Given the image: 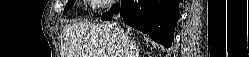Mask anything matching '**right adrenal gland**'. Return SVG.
Returning <instances> with one entry per match:
<instances>
[{
  "mask_svg": "<svg viewBox=\"0 0 249 57\" xmlns=\"http://www.w3.org/2000/svg\"><path fill=\"white\" fill-rule=\"evenodd\" d=\"M134 47L136 50V57H138L139 56V49H138V46L136 45V43H134Z\"/></svg>",
  "mask_w": 249,
  "mask_h": 57,
  "instance_id": "obj_1",
  "label": "right adrenal gland"
}]
</instances>
